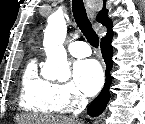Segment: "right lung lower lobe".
<instances>
[{
    "label": "right lung lower lobe",
    "mask_w": 145,
    "mask_h": 124,
    "mask_svg": "<svg viewBox=\"0 0 145 124\" xmlns=\"http://www.w3.org/2000/svg\"><path fill=\"white\" fill-rule=\"evenodd\" d=\"M112 35L113 32L111 29L107 32L106 37L101 39L102 56L104 58V61L106 62V83L101 93L98 95L97 98L92 101L88 108V114L90 116H96L98 114H101L110 98L109 86L111 84V76L109 74V71L112 68Z\"/></svg>",
    "instance_id": "right-lung-lower-lobe-1"
}]
</instances>
